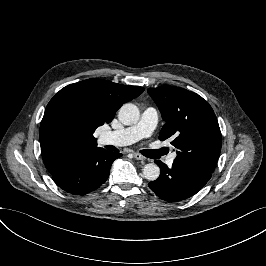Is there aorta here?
<instances>
[{"mask_svg": "<svg viewBox=\"0 0 266 266\" xmlns=\"http://www.w3.org/2000/svg\"><path fill=\"white\" fill-rule=\"evenodd\" d=\"M139 118V109L132 103L124 104L118 113V119L124 125L136 124ZM143 176L149 181H155L160 176V168L154 163H148L143 167Z\"/></svg>", "mask_w": 266, "mask_h": 266, "instance_id": "obj_1", "label": "aorta"}]
</instances>
